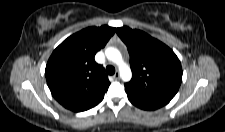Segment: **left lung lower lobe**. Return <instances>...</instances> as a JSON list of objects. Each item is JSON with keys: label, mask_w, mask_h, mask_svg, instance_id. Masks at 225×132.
<instances>
[{"label": "left lung lower lobe", "mask_w": 225, "mask_h": 132, "mask_svg": "<svg viewBox=\"0 0 225 132\" xmlns=\"http://www.w3.org/2000/svg\"><path fill=\"white\" fill-rule=\"evenodd\" d=\"M126 91V90H125ZM127 92V91H126ZM128 99L131 103L135 106L144 109V110H155L158 109L167 103H169V99L166 98H159V97H142L138 95H133L127 92Z\"/></svg>", "instance_id": "left-lung-lower-lobe-1"}]
</instances>
